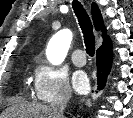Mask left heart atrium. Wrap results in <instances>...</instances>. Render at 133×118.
Instances as JSON below:
<instances>
[{
	"label": "left heart atrium",
	"instance_id": "1",
	"mask_svg": "<svg viewBox=\"0 0 133 118\" xmlns=\"http://www.w3.org/2000/svg\"><path fill=\"white\" fill-rule=\"evenodd\" d=\"M73 87L76 92L83 94L89 88V80L83 71H77L73 75Z\"/></svg>",
	"mask_w": 133,
	"mask_h": 118
}]
</instances>
